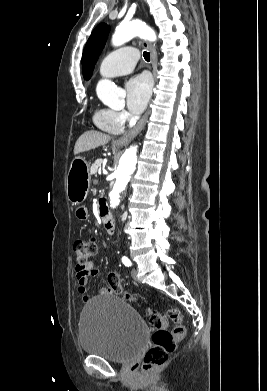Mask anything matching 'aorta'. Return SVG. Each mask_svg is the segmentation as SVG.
Listing matches in <instances>:
<instances>
[{
    "mask_svg": "<svg viewBox=\"0 0 267 391\" xmlns=\"http://www.w3.org/2000/svg\"><path fill=\"white\" fill-rule=\"evenodd\" d=\"M140 37L150 41L156 40L155 32L141 21L121 23L116 27L112 36V45L121 46L134 37ZM98 98L109 106L123 102L124 92L110 80H101L96 88ZM137 163V147L126 149L119 159L115 170V183L109 193L110 206L117 207L120 204L125 188L133 174Z\"/></svg>",
    "mask_w": 267,
    "mask_h": 391,
    "instance_id": "762f6f07",
    "label": "aorta"
}]
</instances>
